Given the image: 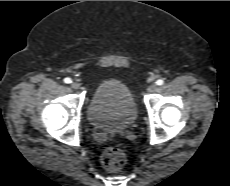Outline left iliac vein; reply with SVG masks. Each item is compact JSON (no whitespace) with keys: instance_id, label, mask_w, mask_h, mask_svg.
I'll use <instances>...</instances> for the list:
<instances>
[{"instance_id":"obj_1","label":"left iliac vein","mask_w":230,"mask_h":186,"mask_svg":"<svg viewBox=\"0 0 230 186\" xmlns=\"http://www.w3.org/2000/svg\"><path fill=\"white\" fill-rule=\"evenodd\" d=\"M157 89V85L156 84H151L148 87V92H154Z\"/></svg>"}]
</instances>
